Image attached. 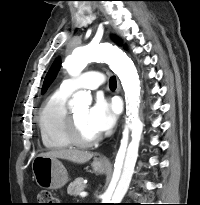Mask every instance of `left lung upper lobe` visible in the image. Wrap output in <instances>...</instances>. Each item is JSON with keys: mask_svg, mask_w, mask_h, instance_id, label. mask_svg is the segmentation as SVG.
<instances>
[{"mask_svg": "<svg viewBox=\"0 0 200 205\" xmlns=\"http://www.w3.org/2000/svg\"><path fill=\"white\" fill-rule=\"evenodd\" d=\"M116 42L119 43V40L114 38ZM61 66V61L60 59H56L55 62L53 63V65L51 66L50 70L48 71L44 83H43V87H42V93H44L46 91V89L49 87V85L52 83V81L55 79L59 69Z\"/></svg>", "mask_w": 200, "mask_h": 205, "instance_id": "obj_1", "label": "left lung upper lobe"}]
</instances>
